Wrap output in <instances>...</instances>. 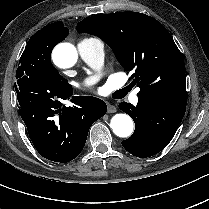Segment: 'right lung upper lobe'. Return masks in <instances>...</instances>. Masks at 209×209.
Returning <instances> with one entry per match:
<instances>
[{
    "label": "right lung upper lobe",
    "mask_w": 209,
    "mask_h": 209,
    "mask_svg": "<svg viewBox=\"0 0 209 209\" xmlns=\"http://www.w3.org/2000/svg\"><path fill=\"white\" fill-rule=\"evenodd\" d=\"M49 30L51 31V36L55 42V45L63 41L68 35V29L63 26L62 21H58L52 24H49L42 28L40 31Z\"/></svg>",
    "instance_id": "1"
}]
</instances>
